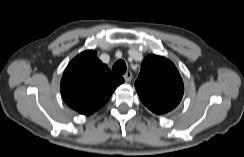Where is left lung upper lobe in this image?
<instances>
[{
  "instance_id": "obj_1",
  "label": "left lung upper lobe",
  "mask_w": 244,
  "mask_h": 157,
  "mask_svg": "<svg viewBox=\"0 0 244 157\" xmlns=\"http://www.w3.org/2000/svg\"><path fill=\"white\" fill-rule=\"evenodd\" d=\"M135 88L143 104L159 115L173 110L184 92L183 81L175 65L155 55L143 60Z\"/></svg>"
}]
</instances>
